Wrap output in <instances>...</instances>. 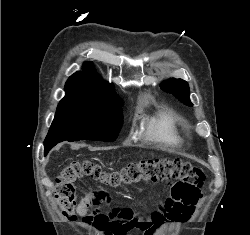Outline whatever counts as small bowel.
Returning a JSON list of instances; mask_svg holds the SVG:
<instances>
[{
	"instance_id": "1",
	"label": "small bowel",
	"mask_w": 250,
	"mask_h": 235,
	"mask_svg": "<svg viewBox=\"0 0 250 235\" xmlns=\"http://www.w3.org/2000/svg\"><path fill=\"white\" fill-rule=\"evenodd\" d=\"M86 211V207L83 205H79L77 208L80 216H84ZM194 211V206H188L169 198L153 214L152 223H155L156 227H162L174 222H184L191 217Z\"/></svg>"
}]
</instances>
